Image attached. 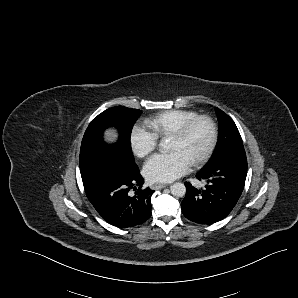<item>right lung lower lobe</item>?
Wrapping results in <instances>:
<instances>
[{
    "label": "right lung lower lobe",
    "mask_w": 298,
    "mask_h": 298,
    "mask_svg": "<svg viewBox=\"0 0 298 298\" xmlns=\"http://www.w3.org/2000/svg\"><path fill=\"white\" fill-rule=\"evenodd\" d=\"M111 174L83 180L89 201L100 216L114 226L127 228L144 223L151 216L154 190L141 189L144 180L138 167ZM135 185L139 186L134 188L135 194L129 193Z\"/></svg>",
    "instance_id": "98d812e1"
}]
</instances>
